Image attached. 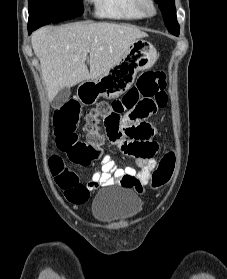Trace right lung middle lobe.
<instances>
[{
	"label": "right lung middle lobe",
	"instance_id": "obj_1",
	"mask_svg": "<svg viewBox=\"0 0 227 279\" xmlns=\"http://www.w3.org/2000/svg\"><path fill=\"white\" fill-rule=\"evenodd\" d=\"M29 23L41 26L83 14L82 0H28Z\"/></svg>",
	"mask_w": 227,
	"mask_h": 279
}]
</instances>
